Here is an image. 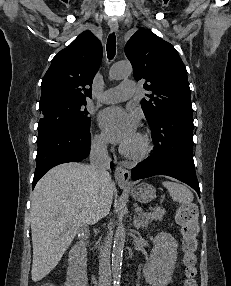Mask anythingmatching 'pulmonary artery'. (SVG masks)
I'll return each instance as SVG.
<instances>
[{
	"label": "pulmonary artery",
	"instance_id": "obj_1",
	"mask_svg": "<svg viewBox=\"0 0 231 286\" xmlns=\"http://www.w3.org/2000/svg\"><path fill=\"white\" fill-rule=\"evenodd\" d=\"M137 86L133 80H124L118 86L102 92L97 100L101 103H117L124 101L136 93Z\"/></svg>",
	"mask_w": 231,
	"mask_h": 286
}]
</instances>
